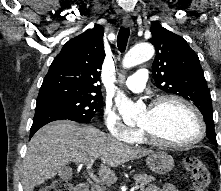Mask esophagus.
Wrapping results in <instances>:
<instances>
[{"label": "esophagus", "instance_id": "1", "mask_svg": "<svg viewBox=\"0 0 221 191\" xmlns=\"http://www.w3.org/2000/svg\"><path fill=\"white\" fill-rule=\"evenodd\" d=\"M123 25L125 27H132L133 26V19L128 15L124 16Z\"/></svg>", "mask_w": 221, "mask_h": 191}]
</instances>
